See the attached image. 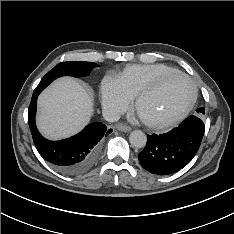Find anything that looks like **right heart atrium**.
<instances>
[{
  "label": "right heart atrium",
  "instance_id": "1",
  "mask_svg": "<svg viewBox=\"0 0 234 234\" xmlns=\"http://www.w3.org/2000/svg\"><path fill=\"white\" fill-rule=\"evenodd\" d=\"M101 101L103 108L112 116L125 112L131 103L117 80L111 77L104 78L101 83Z\"/></svg>",
  "mask_w": 234,
  "mask_h": 234
}]
</instances>
